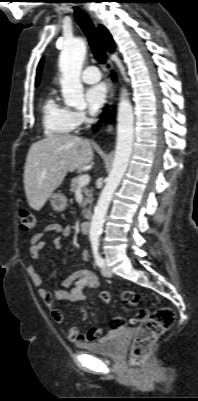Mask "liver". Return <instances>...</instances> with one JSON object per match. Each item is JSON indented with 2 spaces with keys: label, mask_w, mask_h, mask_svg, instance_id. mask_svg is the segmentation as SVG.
Returning <instances> with one entry per match:
<instances>
[{
  "label": "liver",
  "mask_w": 198,
  "mask_h": 401,
  "mask_svg": "<svg viewBox=\"0 0 198 401\" xmlns=\"http://www.w3.org/2000/svg\"><path fill=\"white\" fill-rule=\"evenodd\" d=\"M93 157L91 142L81 137L50 135L33 143L24 170L29 205L36 211L41 210L66 174L84 168Z\"/></svg>",
  "instance_id": "1"
}]
</instances>
